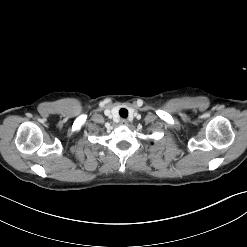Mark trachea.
<instances>
[{
    "label": "trachea",
    "instance_id": "obj_1",
    "mask_svg": "<svg viewBox=\"0 0 247 247\" xmlns=\"http://www.w3.org/2000/svg\"><path fill=\"white\" fill-rule=\"evenodd\" d=\"M119 114L122 118H127L128 116V110L125 109V108H121L120 111H119Z\"/></svg>",
    "mask_w": 247,
    "mask_h": 247
}]
</instances>
